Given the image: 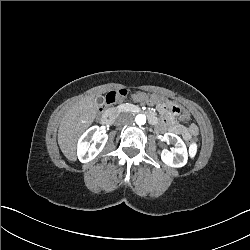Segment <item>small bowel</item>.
<instances>
[{
    "instance_id": "small-bowel-1",
    "label": "small bowel",
    "mask_w": 250,
    "mask_h": 250,
    "mask_svg": "<svg viewBox=\"0 0 250 250\" xmlns=\"http://www.w3.org/2000/svg\"><path fill=\"white\" fill-rule=\"evenodd\" d=\"M139 97V94H136L134 95V98L137 99V100H142V99H138ZM165 106H162L163 109L165 110H168L169 112H173L174 114H176L181 120H187L189 119V113L180 108L179 106H176L175 104H172L171 102H166L164 103ZM148 118L151 120V121H154L157 123V125H160V124H163L164 122H159L156 117L153 115V114H149L148 115ZM168 126L173 130V131H176V132H181L183 131V128L181 125H179L178 123H170L168 122L167 123ZM187 134L188 135H195L197 134V127L195 125H191L188 129H187Z\"/></svg>"
}]
</instances>
